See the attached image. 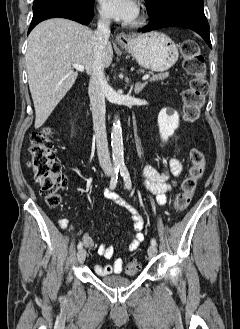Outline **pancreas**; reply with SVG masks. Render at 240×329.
Here are the masks:
<instances>
[{"instance_id":"pancreas-1","label":"pancreas","mask_w":240,"mask_h":329,"mask_svg":"<svg viewBox=\"0 0 240 329\" xmlns=\"http://www.w3.org/2000/svg\"><path fill=\"white\" fill-rule=\"evenodd\" d=\"M169 76L168 73H160L157 75H152V77L150 78V81H158V80H164Z\"/></svg>"}]
</instances>
